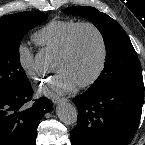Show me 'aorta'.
<instances>
[{
	"instance_id": "1",
	"label": "aorta",
	"mask_w": 145,
	"mask_h": 145,
	"mask_svg": "<svg viewBox=\"0 0 145 145\" xmlns=\"http://www.w3.org/2000/svg\"><path fill=\"white\" fill-rule=\"evenodd\" d=\"M36 62L38 65L44 66L48 63V56L44 52H39L36 55ZM56 113L60 121L65 124L74 125L77 123L78 111L68 102H61L56 108Z\"/></svg>"
}]
</instances>
